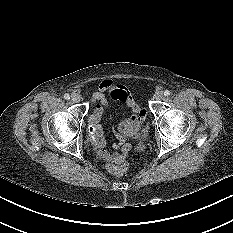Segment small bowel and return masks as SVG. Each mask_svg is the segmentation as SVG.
<instances>
[{"label":"small bowel","mask_w":233,"mask_h":233,"mask_svg":"<svg viewBox=\"0 0 233 233\" xmlns=\"http://www.w3.org/2000/svg\"><path fill=\"white\" fill-rule=\"evenodd\" d=\"M106 93H109L110 99L125 103L133 112L132 117L120 124L119 133L117 135L118 143L114 144V148L118 149V152L113 154L108 153L105 149L106 141L100 125L104 110L109 104ZM91 100L95 104V107L92 115L89 117V123H93L96 126L95 135L98 137V156L107 163L121 164L131 150L130 144L126 143V135L133 131L144 120L145 110L134 101L124 87L116 84L112 79L101 81L98 91L92 94Z\"/></svg>","instance_id":"1"}]
</instances>
